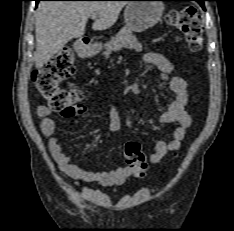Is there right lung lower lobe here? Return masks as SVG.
<instances>
[{
    "instance_id": "1",
    "label": "right lung lower lobe",
    "mask_w": 234,
    "mask_h": 231,
    "mask_svg": "<svg viewBox=\"0 0 234 231\" xmlns=\"http://www.w3.org/2000/svg\"><path fill=\"white\" fill-rule=\"evenodd\" d=\"M35 1H36V5H37L39 1H54V0H35Z\"/></svg>"
}]
</instances>
